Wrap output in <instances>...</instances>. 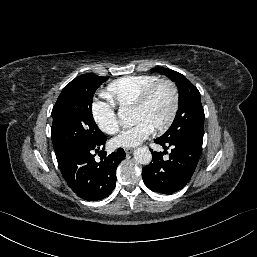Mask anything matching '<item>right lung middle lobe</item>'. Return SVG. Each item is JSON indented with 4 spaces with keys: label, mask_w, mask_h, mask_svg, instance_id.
<instances>
[{
    "label": "right lung middle lobe",
    "mask_w": 257,
    "mask_h": 257,
    "mask_svg": "<svg viewBox=\"0 0 257 257\" xmlns=\"http://www.w3.org/2000/svg\"><path fill=\"white\" fill-rule=\"evenodd\" d=\"M106 80L87 73L63 88L51 113V138L56 157L72 148L95 147L106 138L92 115L93 95Z\"/></svg>",
    "instance_id": "1"
}]
</instances>
